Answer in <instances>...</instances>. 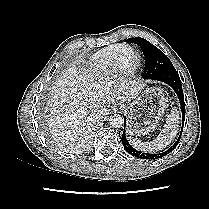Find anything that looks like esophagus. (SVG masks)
<instances>
[{"mask_svg": "<svg viewBox=\"0 0 209 209\" xmlns=\"http://www.w3.org/2000/svg\"><path fill=\"white\" fill-rule=\"evenodd\" d=\"M113 108L115 109V110H118V108H119V106H118V104H114V106H113Z\"/></svg>", "mask_w": 209, "mask_h": 209, "instance_id": "34e87169", "label": "esophagus"}]
</instances>
